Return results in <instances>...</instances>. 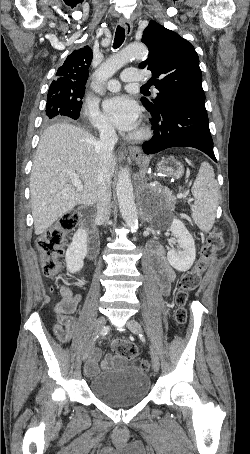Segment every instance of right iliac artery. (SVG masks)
Returning a JSON list of instances; mask_svg holds the SVG:
<instances>
[{
  "mask_svg": "<svg viewBox=\"0 0 250 454\" xmlns=\"http://www.w3.org/2000/svg\"><path fill=\"white\" fill-rule=\"evenodd\" d=\"M107 332H108V327L104 328V329H103V330L101 331V333H100V334H101V335H106V334H107ZM98 337H99V336L97 335V337H96V338H98Z\"/></svg>",
  "mask_w": 250,
  "mask_h": 454,
  "instance_id": "1",
  "label": "right iliac artery"
}]
</instances>
